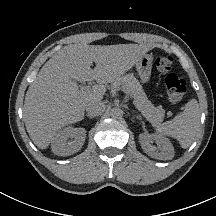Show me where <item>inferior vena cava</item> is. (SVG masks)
<instances>
[{"mask_svg": "<svg viewBox=\"0 0 216 216\" xmlns=\"http://www.w3.org/2000/svg\"><path fill=\"white\" fill-rule=\"evenodd\" d=\"M104 110L105 104L101 100H92L86 105V112L91 117L101 115Z\"/></svg>", "mask_w": 216, "mask_h": 216, "instance_id": "inferior-vena-cava-1", "label": "inferior vena cava"}]
</instances>
